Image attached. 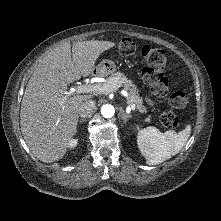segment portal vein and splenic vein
Here are the masks:
<instances>
[{
	"mask_svg": "<svg viewBox=\"0 0 221 221\" xmlns=\"http://www.w3.org/2000/svg\"><path fill=\"white\" fill-rule=\"evenodd\" d=\"M118 87L114 85H104L101 86L100 84H85V85H78L75 89L71 90L67 93L70 96L73 93L81 94V93H109L117 90ZM130 110H135V105L132 104L129 107Z\"/></svg>",
	"mask_w": 221,
	"mask_h": 221,
	"instance_id": "1",
	"label": "portal vein and splenic vein"
}]
</instances>
